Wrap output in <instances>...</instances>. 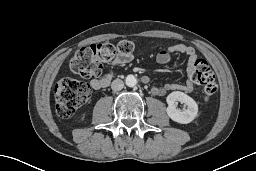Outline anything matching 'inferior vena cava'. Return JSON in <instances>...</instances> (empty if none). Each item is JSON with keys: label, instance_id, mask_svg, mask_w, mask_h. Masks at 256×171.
<instances>
[{"label": "inferior vena cava", "instance_id": "inferior-vena-cava-1", "mask_svg": "<svg viewBox=\"0 0 256 171\" xmlns=\"http://www.w3.org/2000/svg\"><path fill=\"white\" fill-rule=\"evenodd\" d=\"M123 87H124V83L120 79L114 80L111 84V88L113 91H120L121 89H123Z\"/></svg>", "mask_w": 256, "mask_h": 171}]
</instances>
